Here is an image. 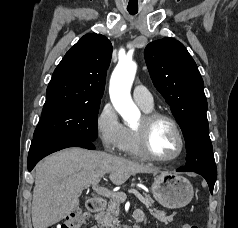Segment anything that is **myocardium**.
I'll return each mask as SVG.
<instances>
[{
  "label": "myocardium",
  "instance_id": "1",
  "mask_svg": "<svg viewBox=\"0 0 238 228\" xmlns=\"http://www.w3.org/2000/svg\"><path fill=\"white\" fill-rule=\"evenodd\" d=\"M159 121H166L168 122L174 129L178 141H179V148L177 153L169 158H162L153 153L150 147V133L153 126ZM137 137L139 146L143 154L150 160L161 162V163H170L178 160L184 152L185 149V139L182 133V130L177 123V121L168 114L161 113V112H148L145 113L142 117V123L134 128Z\"/></svg>",
  "mask_w": 238,
  "mask_h": 228
}]
</instances>
